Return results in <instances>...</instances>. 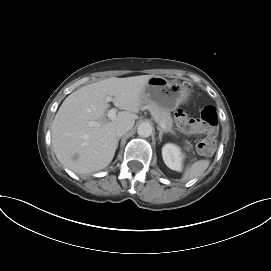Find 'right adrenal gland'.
Masks as SVG:
<instances>
[{"label": "right adrenal gland", "instance_id": "right-adrenal-gland-1", "mask_svg": "<svg viewBox=\"0 0 271 271\" xmlns=\"http://www.w3.org/2000/svg\"><path fill=\"white\" fill-rule=\"evenodd\" d=\"M120 139H121V137H118V138H117V145H118V142H119Z\"/></svg>", "mask_w": 271, "mask_h": 271}]
</instances>
